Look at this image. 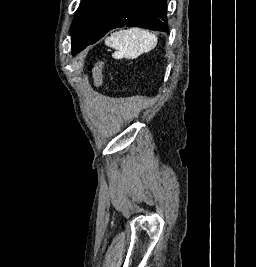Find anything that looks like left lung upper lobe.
<instances>
[{
  "instance_id": "5c2ea615",
  "label": "left lung upper lobe",
  "mask_w": 256,
  "mask_h": 267,
  "mask_svg": "<svg viewBox=\"0 0 256 267\" xmlns=\"http://www.w3.org/2000/svg\"><path fill=\"white\" fill-rule=\"evenodd\" d=\"M167 0H82L72 24V54L118 27L168 32Z\"/></svg>"
}]
</instances>
